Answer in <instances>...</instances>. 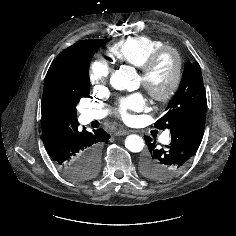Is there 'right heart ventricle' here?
<instances>
[{
	"mask_svg": "<svg viewBox=\"0 0 236 236\" xmlns=\"http://www.w3.org/2000/svg\"><path fill=\"white\" fill-rule=\"evenodd\" d=\"M163 46L165 43L159 39L144 35L132 36L111 45L108 55L116 61L141 67L153 52Z\"/></svg>",
	"mask_w": 236,
	"mask_h": 236,
	"instance_id": "right-heart-ventricle-1",
	"label": "right heart ventricle"
}]
</instances>
